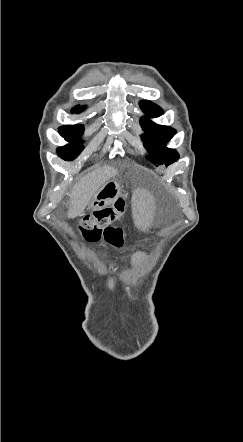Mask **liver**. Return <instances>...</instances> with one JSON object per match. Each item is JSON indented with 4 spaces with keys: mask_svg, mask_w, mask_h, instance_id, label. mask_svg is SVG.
I'll use <instances>...</instances> for the list:
<instances>
[{
    "mask_svg": "<svg viewBox=\"0 0 243 442\" xmlns=\"http://www.w3.org/2000/svg\"><path fill=\"white\" fill-rule=\"evenodd\" d=\"M117 173L115 168L105 166L82 178L71 190L67 217L80 216L97 191Z\"/></svg>",
    "mask_w": 243,
    "mask_h": 442,
    "instance_id": "liver-1",
    "label": "liver"
}]
</instances>
